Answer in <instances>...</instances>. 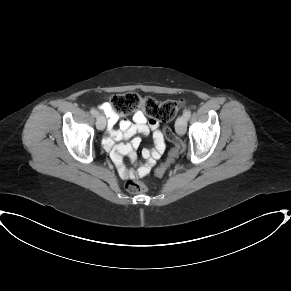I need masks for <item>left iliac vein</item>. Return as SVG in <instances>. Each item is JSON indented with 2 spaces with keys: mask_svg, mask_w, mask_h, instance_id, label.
Instances as JSON below:
<instances>
[{
  "mask_svg": "<svg viewBox=\"0 0 291 291\" xmlns=\"http://www.w3.org/2000/svg\"><path fill=\"white\" fill-rule=\"evenodd\" d=\"M186 124H187V118L184 116H179L175 123V130L176 133L180 136H183L186 132Z\"/></svg>",
  "mask_w": 291,
  "mask_h": 291,
  "instance_id": "left-iliac-vein-1",
  "label": "left iliac vein"
}]
</instances>
